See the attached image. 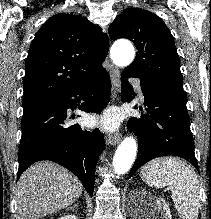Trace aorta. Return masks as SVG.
<instances>
[{
    "label": "aorta",
    "instance_id": "obj_1",
    "mask_svg": "<svg viewBox=\"0 0 211 219\" xmlns=\"http://www.w3.org/2000/svg\"><path fill=\"white\" fill-rule=\"evenodd\" d=\"M135 57L133 45L128 42L114 44L111 50V59L115 65L126 67L132 63ZM137 154V143L133 137H126L118 146L113 158L115 173L125 174L133 165Z\"/></svg>",
    "mask_w": 211,
    "mask_h": 219
}]
</instances>
